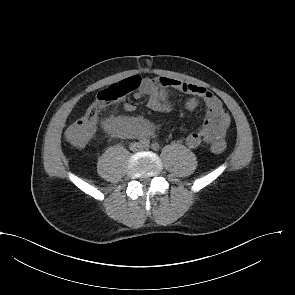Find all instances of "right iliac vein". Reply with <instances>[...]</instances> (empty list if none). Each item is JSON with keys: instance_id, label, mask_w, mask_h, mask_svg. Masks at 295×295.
I'll return each mask as SVG.
<instances>
[{"instance_id": "1", "label": "right iliac vein", "mask_w": 295, "mask_h": 295, "mask_svg": "<svg viewBox=\"0 0 295 295\" xmlns=\"http://www.w3.org/2000/svg\"><path fill=\"white\" fill-rule=\"evenodd\" d=\"M140 144L139 143H135L131 145V150L132 151H137L138 149H140Z\"/></svg>"}]
</instances>
